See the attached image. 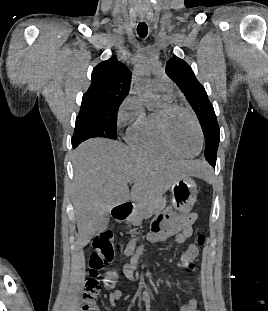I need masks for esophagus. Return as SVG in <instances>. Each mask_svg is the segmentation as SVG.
I'll return each mask as SVG.
<instances>
[{
	"label": "esophagus",
	"mask_w": 268,
	"mask_h": 311,
	"mask_svg": "<svg viewBox=\"0 0 268 311\" xmlns=\"http://www.w3.org/2000/svg\"><path fill=\"white\" fill-rule=\"evenodd\" d=\"M139 19H140L141 21H144V20H145V16H144V15H140V16H139Z\"/></svg>",
	"instance_id": "1"
}]
</instances>
